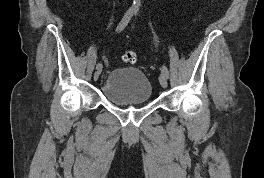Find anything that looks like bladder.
I'll list each match as a JSON object with an SVG mask.
<instances>
[{"instance_id": "31cf9c89", "label": "bladder", "mask_w": 264, "mask_h": 178, "mask_svg": "<svg viewBox=\"0 0 264 178\" xmlns=\"http://www.w3.org/2000/svg\"><path fill=\"white\" fill-rule=\"evenodd\" d=\"M101 94L109 102L129 107L148 103L152 86L146 75L137 68L112 70L101 84Z\"/></svg>"}]
</instances>
